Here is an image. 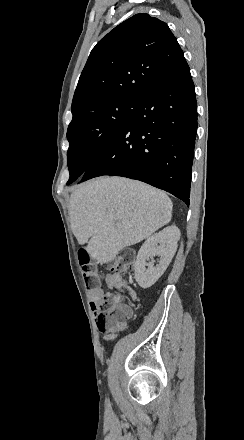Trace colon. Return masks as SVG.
I'll use <instances>...</instances> for the list:
<instances>
[{"label": "colon", "mask_w": 244, "mask_h": 440, "mask_svg": "<svg viewBox=\"0 0 244 440\" xmlns=\"http://www.w3.org/2000/svg\"><path fill=\"white\" fill-rule=\"evenodd\" d=\"M80 258V271L84 273L86 282V294H95L98 281L99 262H86L89 260L87 248H80L78 251ZM119 259L112 264V271L115 273L133 272L135 269V250L134 248H119ZM124 296L121 292H106L97 304L91 305V312L94 319H103L102 330L113 329L123 325L133 313L132 305L123 303Z\"/></svg>", "instance_id": "5ec220e1"}]
</instances>
